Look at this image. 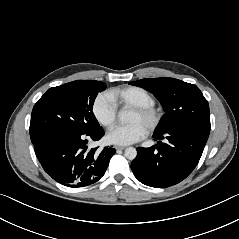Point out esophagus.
<instances>
[{"label": "esophagus", "mask_w": 239, "mask_h": 239, "mask_svg": "<svg viewBox=\"0 0 239 239\" xmlns=\"http://www.w3.org/2000/svg\"><path fill=\"white\" fill-rule=\"evenodd\" d=\"M115 149H116V150H124L125 147H124V146H115Z\"/></svg>", "instance_id": "1"}]
</instances>
